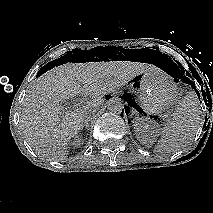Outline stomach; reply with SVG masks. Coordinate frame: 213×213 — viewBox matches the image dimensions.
<instances>
[{
  "mask_svg": "<svg viewBox=\"0 0 213 213\" xmlns=\"http://www.w3.org/2000/svg\"><path fill=\"white\" fill-rule=\"evenodd\" d=\"M132 82L138 87L142 109L148 114H160L178 102L175 83L157 72H143Z\"/></svg>",
  "mask_w": 213,
  "mask_h": 213,
  "instance_id": "1",
  "label": "stomach"
}]
</instances>
